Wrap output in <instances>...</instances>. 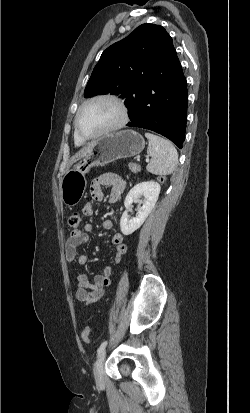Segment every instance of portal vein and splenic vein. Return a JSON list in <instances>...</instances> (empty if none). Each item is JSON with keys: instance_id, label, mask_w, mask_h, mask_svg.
I'll return each mask as SVG.
<instances>
[{"instance_id": "portal-vein-and-splenic-vein-1", "label": "portal vein and splenic vein", "mask_w": 250, "mask_h": 413, "mask_svg": "<svg viewBox=\"0 0 250 413\" xmlns=\"http://www.w3.org/2000/svg\"><path fill=\"white\" fill-rule=\"evenodd\" d=\"M146 162H149V158L146 159Z\"/></svg>"}]
</instances>
